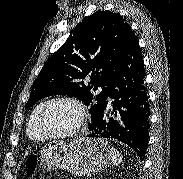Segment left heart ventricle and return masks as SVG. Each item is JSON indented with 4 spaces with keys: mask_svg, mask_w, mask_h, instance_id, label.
Masks as SVG:
<instances>
[{
    "mask_svg": "<svg viewBox=\"0 0 183 179\" xmlns=\"http://www.w3.org/2000/svg\"><path fill=\"white\" fill-rule=\"evenodd\" d=\"M79 121L78 109L66 102L52 104L45 112L42 126L48 133H63L73 129Z\"/></svg>",
    "mask_w": 183,
    "mask_h": 179,
    "instance_id": "b2bd125f",
    "label": "left heart ventricle"
}]
</instances>
